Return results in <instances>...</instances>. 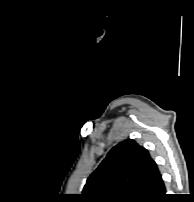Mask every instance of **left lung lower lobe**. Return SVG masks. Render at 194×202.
<instances>
[{
    "label": "left lung lower lobe",
    "mask_w": 194,
    "mask_h": 202,
    "mask_svg": "<svg viewBox=\"0 0 194 202\" xmlns=\"http://www.w3.org/2000/svg\"><path fill=\"white\" fill-rule=\"evenodd\" d=\"M164 198H165V186L162 182L152 202H162Z\"/></svg>",
    "instance_id": "left-lung-lower-lobe-1"
}]
</instances>
